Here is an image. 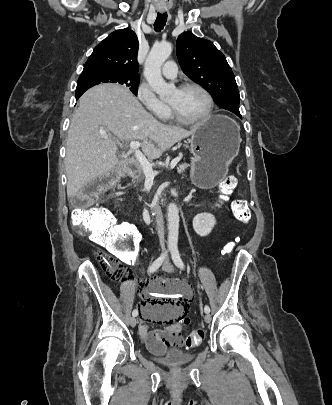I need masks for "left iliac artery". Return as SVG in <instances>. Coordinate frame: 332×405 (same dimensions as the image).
Returning a JSON list of instances; mask_svg holds the SVG:
<instances>
[{"label": "left iliac artery", "mask_w": 332, "mask_h": 405, "mask_svg": "<svg viewBox=\"0 0 332 405\" xmlns=\"http://www.w3.org/2000/svg\"><path fill=\"white\" fill-rule=\"evenodd\" d=\"M171 256H172V260H173L174 264L178 268L184 269V263H183V261H182V259L180 257L179 250H178L177 247H172L171 248ZM204 311H205L206 314H209L210 313V307L208 305H205Z\"/></svg>", "instance_id": "1"}]
</instances>
